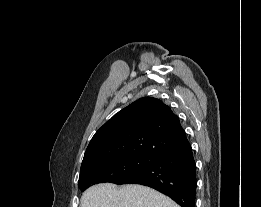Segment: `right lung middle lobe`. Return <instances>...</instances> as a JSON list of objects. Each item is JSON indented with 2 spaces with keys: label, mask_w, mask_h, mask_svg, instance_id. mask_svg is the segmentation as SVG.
<instances>
[{
  "label": "right lung middle lobe",
  "mask_w": 261,
  "mask_h": 207,
  "mask_svg": "<svg viewBox=\"0 0 261 207\" xmlns=\"http://www.w3.org/2000/svg\"><path fill=\"white\" fill-rule=\"evenodd\" d=\"M157 160L134 155L92 163L81 167L78 186L83 192L91 185L98 183L119 184L125 178L148 168Z\"/></svg>",
  "instance_id": "dd1d6c3e"
}]
</instances>
